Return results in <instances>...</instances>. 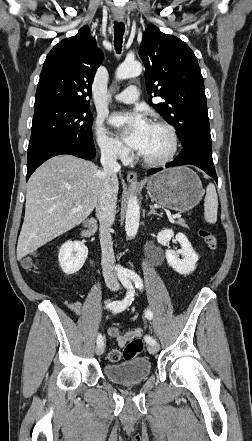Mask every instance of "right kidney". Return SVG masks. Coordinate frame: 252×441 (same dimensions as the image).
Returning <instances> with one entry per match:
<instances>
[{
  "label": "right kidney",
  "instance_id": "1",
  "mask_svg": "<svg viewBox=\"0 0 252 441\" xmlns=\"http://www.w3.org/2000/svg\"><path fill=\"white\" fill-rule=\"evenodd\" d=\"M88 256V248L80 241H67L59 250L58 260L62 271L72 275L79 271Z\"/></svg>",
  "mask_w": 252,
  "mask_h": 441
}]
</instances>
